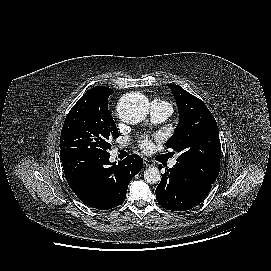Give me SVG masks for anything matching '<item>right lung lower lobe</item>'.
I'll list each match as a JSON object with an SVG mask.
<instances>
[{"label": "right lung lower lobe", "mask_w": 271, "mask_h": 271, "mask_svg": "<svg viewBox=\"0 0 271 271\" xmlns=\"http://www.w3.org/2000/svg\"><path fill=\"white\" fill-rule=\"evenodd\" d=\"M60 158L65 178L79 199L89 207L107 210L121 205L128 184L143 167L138 155L111 163L109 153L63 148Z\"/></svg>", "instance_id": "98d812e1"}]
</instances>
